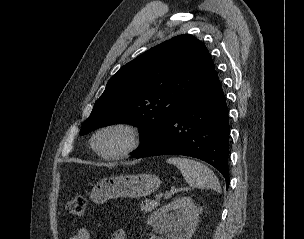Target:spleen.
Returning a JSON list of instances; mask_svg holds the SVG:
<instances>
[{
	"label": "spleen",
	"mask_w": 304,
	"mask_h": 239,
	"mask_svg": "<svg viewBox=\"0 0 304 239\" xmlns=\"http://www.w3.org/2000/svg\"><path fill=\"white\" fill-rule=\"evenodd\" d=\"M167 163L176 165L192 188H209L220 192L221 187L217 177L205 164L182 157L169 158Z\"/></svg>",
	"instance_id": "1"
}]
</instances>
